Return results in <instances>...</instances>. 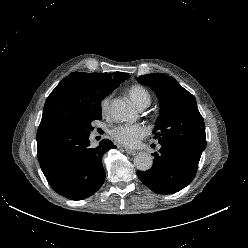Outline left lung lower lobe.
Here are the masks:
<instances>
[{"mask_svg":"<svg viewBox=\"0 0 248 248\" xmlns=\"http://www.w3.org/2000/svg\"><path fill=\"white\" fill-rule=\"evenodd\" d=\"M152 167L138 171L137 176L144 185L158 194H173L180 191L194 179L199 160L194 159L176 146L161 145L154 153Z\"/></svg>","mask_w":248,"mask_h":248,"instance_id":"1","label":"left lung lower lobe"}]
</instances>
